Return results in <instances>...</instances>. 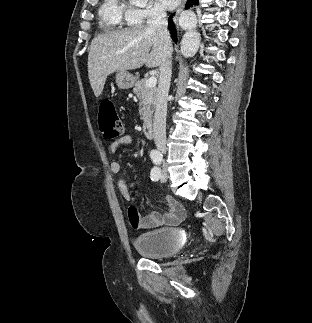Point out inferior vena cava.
I'll return each instance as SVG.
<instances>
[{"mask_svg": "<svg viewBox=\"0 0 312 323\" xmlns=\"http://www.w3.org/2000/svg\"><path fill=\"white\" fill-rule=\"evenodd\" d=\"M165 10H154L149 26L157 30V36L161 46L160 78L156 96V112L153 122L154 142L162 152H166V116L167 96L170 88L172 74V42L167 30L168 20Z\"/></svg>", "mask_w": 312, "mask_h": 323, "instance_id": "1", "label": "inferior vena cava"}]
</instances>
